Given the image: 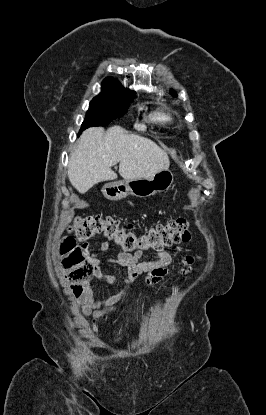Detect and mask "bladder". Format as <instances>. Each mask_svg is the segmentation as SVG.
I'll list each match as a JSON object with an SVG mask.
<instances>
[{
  "label": "bladder",
  "instance_id": "bladder-1",
  "mask_svg": "<svg viewBox=\"0 0 266 415\" xmlns=\"http://www.w3.org/2000/svg\"><path fill=\"white\" fill-rule=\"evenodd\" d=\"M116 341L117 342H121L122 341V336L121 335H118L117 338H116Z\"/></svg>",
  "mask_w": 266,
  "mask_h": 415
}]
</instances>
